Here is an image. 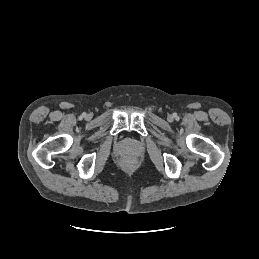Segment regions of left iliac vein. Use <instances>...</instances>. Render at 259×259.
Wrapping results in <instances>:
<instances>
[{"label": "left iliac vein", "instance_id": "4c4485c4", "mask_svg": "<svg viewBox=\"0 0 259 259\" xmlns=\"http://www.w3.org/2000/svg\"><path fill=\"white\" fill-rule=\"evenodd\" d=\"M168 119H169V120H172V117H171V116H169V117H168Z\"/></svg>", "mask_w": 259, "mask_h": 259}]
</instances>
